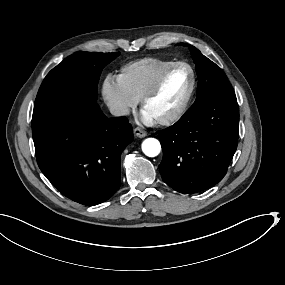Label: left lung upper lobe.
Here are the masks:
<instances>
[{
  "label": "left lung upper lobe",
  "instance_id": "left-lung-upper-lobe-1",
  "mask_svg": "<svg viewBox=\"0 0 285 285\" xmlns=\"http://www.w3.org/2000/svg\"><path fill=\"white\" fill-rule=\"evenodd\" d=\"M178 45L188 46L198 75L197 99L193 104L217 96H235L226 75L220 67L201 54L195 47L181 43Z\"/></svg>",
  "mask_w": 285,
  "mask_h": 285
}]
</instances>
